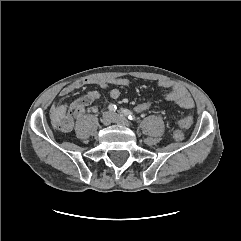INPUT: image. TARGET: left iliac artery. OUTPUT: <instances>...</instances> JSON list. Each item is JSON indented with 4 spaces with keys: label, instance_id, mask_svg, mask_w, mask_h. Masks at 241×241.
<instances>
[{
    "label": "left iliac artery",
    "instance_id": "1",
    "mask_svg": "<svg viewBox=\"0 0 241 241\" xmlns=\"http://www.w3.org/2000/svg\"><path fill=\"white\" fill-rule=\"evenodd\" d=\"M121 113L125 116H127V118L131 121H136V117L135 115L128 109H121Z\"/></svg>",
    "mask_w": 241,
    "mask_h": 241
}]
</instances>
